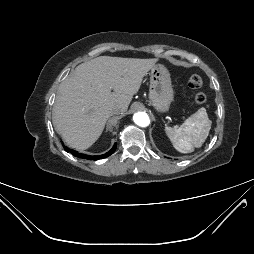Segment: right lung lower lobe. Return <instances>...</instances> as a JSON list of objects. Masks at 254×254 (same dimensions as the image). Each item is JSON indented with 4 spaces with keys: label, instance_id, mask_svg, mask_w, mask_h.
<instances>
[{
    "label": "right lung lower lobe",
    "instance_id": "obj_1",
    "mask_svg": "<svg viewBox=\"0 0 254 254\" xmlns=\"http://www.w3.org/2000/svg\"><path fill=\"white\" fill-rule=\"evenodd\" d=\"M116 148H117V145L115 143L114 146L112 147V149L110 151H108L107 153H105L103 155H99V156H90V155L80 154V153L70 150L69 148L64 146L65 151L70 152L71 154H73L74 156H76L78 158H83V159H88V160H98V159L109 157L112 153H114Z\"/></svg>",
    "mask_w": 254,
    "mask_h": 254
}]
</instances>
